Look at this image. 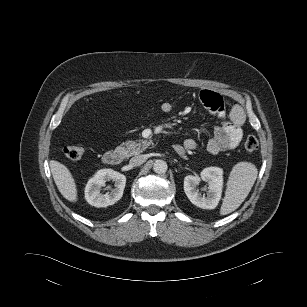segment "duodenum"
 Instances as JSON below:
<instances>
[{"mask_svg":"<svg viewBox=\"0 0 307 307\" xmlns=\"http://www.w3.org/2000/svg\"><path fill=\"white\" fill-rule=\"evenodd\" d=\"M122 161V155L119 151L111 149L104 153L103 162L109 166H116Z\"/></svg>","mask_w":307,"mask_h":307,"instance_id":"410a0bca","label":"duodenum"}]
</instances>
